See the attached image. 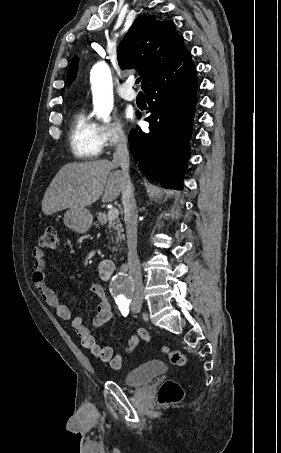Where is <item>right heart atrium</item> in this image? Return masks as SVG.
<instances>
[{"label":"right heart atrium","instance_id":"d8ad5b80","mask_svg":"<svg viewBox=\"0 0 281 453\" xmlns=\"http://www.w3.org/2000/svg\"><path fill=\"white\" fill-rule=\"evenodd\" d=\"M107 85L105 83H96L95 85V97L102 98L107 92ZM102 126V134L105 143L115 148L120 146L127 138V132L120 121L107 122Z\"/></svg>","mask_w":281,"mask_h":453}]
</instances>
